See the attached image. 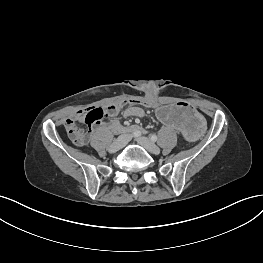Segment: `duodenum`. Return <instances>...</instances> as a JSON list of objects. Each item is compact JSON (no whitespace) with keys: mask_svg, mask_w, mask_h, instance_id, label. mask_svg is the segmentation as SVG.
<instances>
[{"mask_svg":"<svg viewBox=\"0 0 263 263\" xmlns=\"http://www.w3.org/2000/svg\"><path fill=\"white\" fill-rule=\"evenodd\" d=\"M111 128L112 129H118V130H120L122 132H130V131H133L135 129L139 130V127L136 126V125H133V126H130V127H119L117 124H112Z\"/></svg>","mask_w":263,"mask_h":263,"instance_id":"1","label":"duodenum"}]
</instances>
